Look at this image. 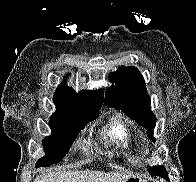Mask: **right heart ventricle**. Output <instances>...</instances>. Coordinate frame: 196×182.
Returning <instances> with one entry per match:
<instances>
[{"label": "right heart ventricle", "instance_id": "1", "mask_svg": "<svg viewBox=\"0 0 196 182\" xmlns=\"http://www.w3.org/2000/svg\"><path fill=\"white\" fill-rule=\"evenodd\" d=\"M105 137L112 143L129 146L135 144L130 126L122 119H113L105 128Z\"/></svg>", "mask_w": 196, "mask_h": 182}]
</instances>
